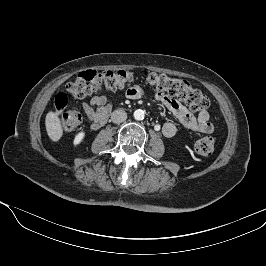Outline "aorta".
Masks as SVG:
<instances>
[{
	"instance_id": "obj_1",
	"label": "aorta",
	"mask_w": 266,
	"mask_h": 266,
	"mask_svg": "<svg viewBox=\"0 0 266 266\" xmlns=\"http://www.w3.org/2000/svg\"><path fill=\"white\" fill-rule=\"evenodd\" d=\"M144 117H145V113H144L143 110L138 109V110H135V111H134V118H135L136 120H143Z\"/></svg>"
}]
</instances>
